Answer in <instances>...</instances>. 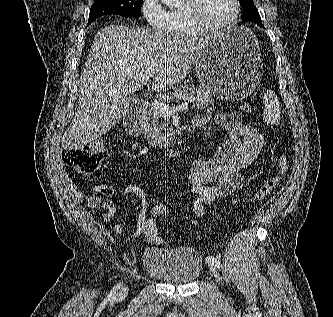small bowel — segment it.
I'll return each mask as SVG.
<instances>
[{
    "label": "small bowel",
    "mask_w": 333,
    "mask_h": 317,
    "mask_svg": "<svg viewBox=\"0 0 333 317\" xmlns=\"http://www.w3.org/2000/svg\"><path fill=\"white\" fill-rule=\"evenodd\" d=\"M209 120L210 117L207 116L195 118L200 126ZM214 121L227 132V138L211 158L191 164L189 184L191 192L196 195L192 209L197 218L204 217L206 204L215 203L218 199L243 189L245 185L243 171L261 156L264 145V135L261 131L232 114H217ZM64 185L74 202L86 201L91 207L101 208L105 221L116 214L113 201L87 196L69 177L64 178ZM94 189L108 197L116 192L114 187L103 183L95 184ZM121 195L123 197L134 195L140 202L136 229L131 236L138 237L146 233L145 218L150 205L147 192L137 184H130L122 190ZM113 232L116 235L123 233L121 222L114 225Z\"/></svg>",
    "instance_id": "obj_1"
}]
</instances>
